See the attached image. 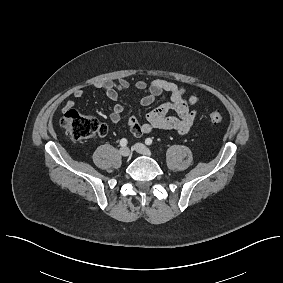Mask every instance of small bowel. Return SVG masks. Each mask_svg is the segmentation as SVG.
I'll return each mask as SVG.
<instances>
[{
  "mask_svg": "<svg viewBox=\"0 0 283 283\" xmlns=\"http://www.w3.org/2000/svg\"><path fill=\"white\" fill-rule=\"evenodd\" d=\"M129 87L130 84L126 79L106 81L96 85V88L103 90L105 95L112 101H116L119 92L125 91ZM134 87L135 90L143 93L140 99L143 106L152 105L163 94H167L169 100L150 110L143 123H140L135 116H130L127 124L132 135L138 137L154 129L171 130L180 135L189 132L196 118V111L192 108L197 103L196 97L186 98L184 88L163 78L155 79L150 83L138 81ZM83 95L84 91L81 89H77L73 93L75 98H81ZM73 107L74 102L72 100H67L63 105L65 111ZM171 111L175 115H170ZM122 114L123 106L115 104L109 115V120L117 124L121 121Z\"/></svg>",
  "mask_w": 283,
  "mask_h": 283,
  "instance_id": "1",
  "label": "small bowel"
}]
</instances>
